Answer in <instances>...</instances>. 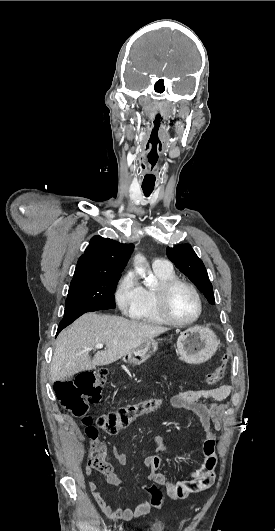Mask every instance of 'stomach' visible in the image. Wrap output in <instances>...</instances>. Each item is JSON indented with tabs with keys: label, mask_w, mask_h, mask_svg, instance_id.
<instances>
[{
	"label": "stomach",
	"mask_w": 275,
	"mask_h": 531,
	"mask_svg": "<svg viewBox=\"0 0 275 531\" xmlns=\"http://www.w3.org/2000/svg\"><path fill=\"white\" fill-rule=\"evenodd\" d=\"M218 345L215 333L206 327H191L181 333L177 341L180 359L189 365H200L209 361L215 355ZM156 351H158V341L149 339L137 349H132L130 353L124 355L123 361L137 367L155 355Z\"/></svg>",
	"instance_id": "stomach-1"
}]
</instances>
